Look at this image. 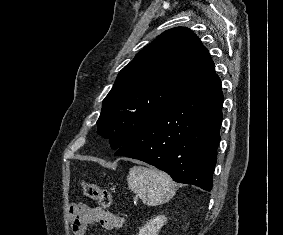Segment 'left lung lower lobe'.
I'll use <instances>...</instances> for the list:
<instances>
[{"label":"left lung lower lobe","mask_w":283,"mask_h":235,"mask_svg":"<svg viewBox=\"0 0 283 235\" xmlns=\"http://www.w3.org/2000/svg\"><path fill=\"white\" fill-rule=\"evenodd\" d=\"M223 94L215 74L163 112L115 153L144 161L178 183L212 189Z\"/></svg>","instance_id":"left-lung-lower-lobe-1"}]
</instances>
